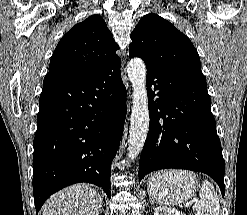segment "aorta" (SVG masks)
Returning a JSON list of instances; mask_svg holds the SVG:
<instances>
[{
    "label": "aorta",
    "mask_w": 247,
    "mask_h": 215,
    "mask_svg": "<svg viewBox=\"0 0 247 215\" xmlns=\"http://www.w3.org/2000/svg\"><path fill=\"white\" fill-rule=\"evenodd\" d=\"M127 74L133 88L127 156L134 160L145 144L150 121L144 61L140 58L131 59L127 65Z\"/></svg>",
    "instance_id": "1"
}]
</instances>
